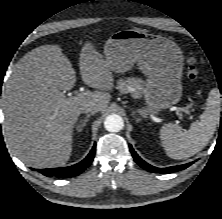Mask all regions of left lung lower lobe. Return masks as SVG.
<instances>
[{"label":"left lung lower lobe","instance_id":"obj_1","mask_svg":"<svg viewBox=\"0 0 222 219\" xmlns=\"http://www.w3.org/2000/svg\"><path fill=\"white\" fill-rule=\"evenodd\" d=\"M130 147V151L132 153V156L135 160V162L141 166L142 168L151 171V172H155V173H172V172H177L183 169H186L187 167H189L193 162L188 163V164H184V165H178V166H172V167H167V168H157L154 166H151L150 164H148L147 162H145L144 160H142L137 153L134 151V149L132 148L131 145H129Z\"/></svg>","mask_w":222,"mask_h":219}]
</instances>
